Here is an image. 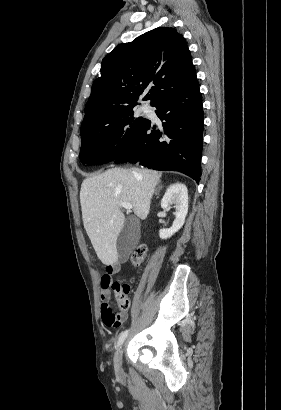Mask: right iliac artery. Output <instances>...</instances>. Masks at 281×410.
Returning <instances> with one entry per match:
<instances>
[{
	"label": "right iliac artery",
	"instance_id": "obj_1",
	"mask_svg": "<svg viewBox=\"0 0 281 410\" xmlns=\"http://www.w3.org/2000/svg\"><path fill=\"white\" fill-rule=\"evenodd\" d=\"M127 335H128V330H126V331H124L120 334L118 342H117L118 347H120L123 344V342L126 339Z\"/></svg>",
	"mask_w": 281,
	"mask_h": 410
}]
</instances>
